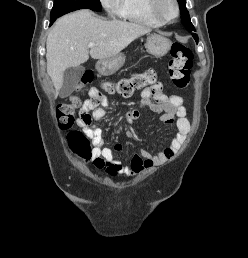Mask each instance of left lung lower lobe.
I'll use <instances>...</instances> for the list:
<instances>
[{"mask_svg": "<svg viewBox=\"0 0 248 258\" xmlns=\"http://www.w3.org/2000/svg\"><path fill=\"white\" fill-rule=\"evenodd\" d=\"M193 37L196 40V42H198V36L196 34H193Z\"/></svg>", "mask_w": 248, "mask_h": 258, "instance_id": "0a47b994", "label": "left lung lower lobe"}]
</instances>
